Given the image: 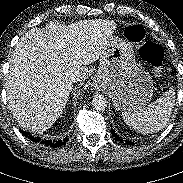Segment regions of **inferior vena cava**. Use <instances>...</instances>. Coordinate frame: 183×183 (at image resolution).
Returning a JSON list of instances; mask_svg holds the SVG:
<instances>
[{"mask_svg":"<svg viewBox=\"0 0 183 183\" xmlns=\"http://www.w3.org/2000/svg\"><path fill=\"white\" fill-rule=\"evenodd\" d=\"M69 80L71 82H77L80 81V76L77 72L73 71L69 74Z\"/></svg>","mask_w":183,"mask_h":183,"instance_id":"602c4592","label":"inferior vena cava"}]
</instances>
